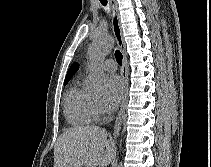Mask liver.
<instances>
[{"label": "liver", "mask_w": 211, "mask_h": 167, "mask_svg": "<svg viewBox=\"0 0 211 167\" xmlns=\"http://www.w3.org/2000/svg\"><path fill=\"white\" fill-rule=\"evenodd\" d=\"M107 131L97 126L74 127L59 136L54 147V167H106L115 155Z\"/></svg>", "instance_id": "obj_1"}]
</instances>
